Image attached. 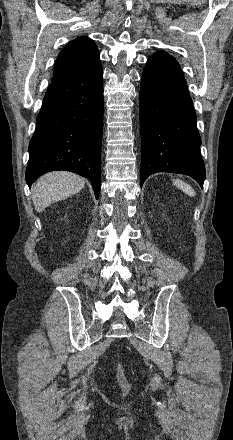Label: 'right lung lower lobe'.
I'll return each mask as SVG.
<instances>
[{"label": "right lung lower lobe", "instance_id": "1", "mask_svg": "<svg viewBox=\"0 0 233 440\" xmlns=\"http://www.w3.org/2000/svg\"><path fill=\"white\" fill-rule=\"evenodd\" d=\"M102 67L83 76L51 83L29 144L26 182L49 171L67 170L101 188L103 122Z\"/></svg>", "mask_w": 233, "mask_h": 440}]
</instances>
